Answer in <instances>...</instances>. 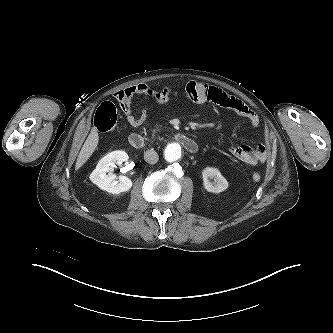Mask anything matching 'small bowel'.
Returning <instances> with one entry per match:
<instances>
[{
	"instance_id": "small-bowel-1",
	"label": "small bowel",
	"mask_w": 333,
	"mask_h": 333,
	"mask_svg": "<svg viewBox=\"0 0 333 333\" xmlns=\"http://www.w3.org/2000/svg\"><path fill=\"white\" fill-rule=\"evenodd\" d=\"M179 95H183L186 99L194 103L211 102L229 109L247 120L253 130H256L259 125L258 115L245 103L228 95L217 87L202 82L191 81L187 83L182 92L170 87L156 89L148 84L142 83L120 90L115 93L114 97L121 111L126 116L129 125L138 127L145 121L147 109L144 106L138 114H135L131 107L134 97L144 96L152 98L158 103H166L171 98L178 97ZM230 152L233 156L248 165L261 164L267 160V150L263 145L256 147H250L244 144L236 145L231 147Z\"/></svg>"
}]
</instances>
